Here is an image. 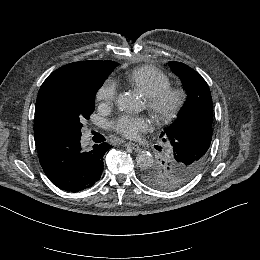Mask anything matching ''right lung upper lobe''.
Segmentation results:
<instances>
[{
	"mask_svg": "<svg viewBox=\"0 0 260 260\" xmlns=\"http://www.w3.org/2000/svg\"><path fill=\"white\" fill-rule=\"evenodd\" d=\"M114 61L89 60L67 64L51 73L40 87L35 107L34 137L38 154L44 153L59 138L48 127V106L58 89L95 74H109Z\"/></svg>",
	"mask_w": 260,
	"mask_h": 260,
	"instance_id": "obj_1",
	"label": "right lung upper lobe"
}]
</instances>
